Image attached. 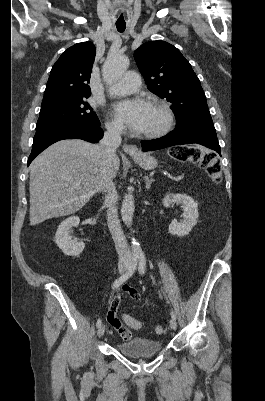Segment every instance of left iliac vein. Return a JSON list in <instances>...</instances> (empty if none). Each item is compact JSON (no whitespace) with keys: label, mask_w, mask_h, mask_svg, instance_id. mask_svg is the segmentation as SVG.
Listing matches in <instances>:
<instances>
[{"label":"left iliac vein","mask_w":265,"mask_h":401,"mask_svg":"<svg viewBox=\"0 0 265 401\" xmlns=\"http://www.w3.org/2000/svg\"><path fill=\"white\" fill-rule=\"evenodd\" d=\"M169 324H170L171 329L175 330L177 328V322L174 318L170 319Z\"/></svg>","instance_id":"1"}]
</instances>
